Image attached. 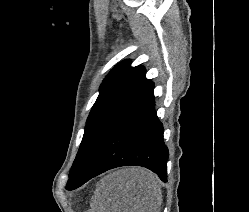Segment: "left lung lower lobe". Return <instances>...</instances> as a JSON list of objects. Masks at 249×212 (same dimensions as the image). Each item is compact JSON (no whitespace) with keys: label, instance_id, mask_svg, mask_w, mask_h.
<instances>
[{"label":"left lung lower lobe","instance_id":"1","mask_svg":"<svg viewBox=\"0 0 249 212\" xmlns=\"http://www.w3.org/2000/svg\"><path fill=\"white\" fill-rule=\"evenodd\" d=\"M154 84L129 107L107 132L80 176L67 183L74 190L91 178L112 168L138 165L167 180L168 149L163 140V125L155 111Z\"/></svg>","mask_w":249,"mask_h":212}]
</instances>
